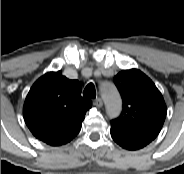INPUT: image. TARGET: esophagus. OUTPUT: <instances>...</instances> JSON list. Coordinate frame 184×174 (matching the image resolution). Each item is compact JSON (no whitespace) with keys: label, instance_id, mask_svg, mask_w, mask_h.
I'll return each instance as SVG.
<instances>
[{"label":"esophagus","instance_id":"esophagus-1","mask_svg":"<svg viewBox=\"0 0 184 174\" xmlns=\"http://www.w3.org/2000/svg\"><path fill=\"white\" fill-rule=\"evenodd\" d=\"M94 105L97 106V107H102L103 105V101L101 98H96L94 101H93Z\"/></svg>","mask_w":184,"mask_h":174}]
</instances>
